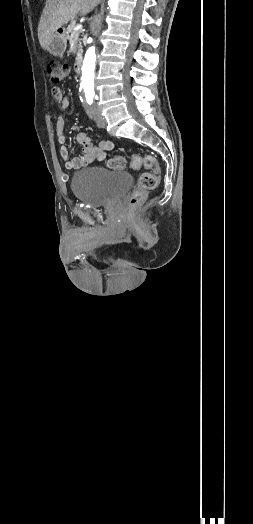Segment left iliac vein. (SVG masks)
I'll use <instances>...</instances> for the list:
<instances>
[{
  "mask_svg": "<svg viewBox=\"0 0 253 524\" xmlns=\"http://www.w3.org/2000/svg\"><path fill=\"white\" fill-rule=\"evenodd\" d=\"M93 110H94V118H95V122L97 124V126L99 128H104L105 125H106V121L105 119L99 114L97 108L94 106L93 107Z\"/></svg>",
  "mask_w": 253,
  "mask_h": 524,
  "instance_id": "1",
  "label": "left iliac vein"
}]
</instances>
